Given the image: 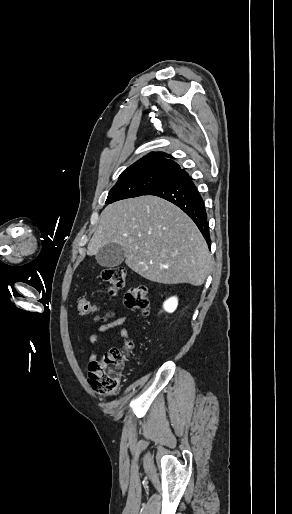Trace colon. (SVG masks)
I'll use <instances>...</instances> for the list:
<instances>
[{"label": "colon", "instance_id": "colon-1", "mask_svg": "<svg viewBox=\"0 0 292 514\" xmlns=\"http://www.w3.org/2000/svg\"><path fill=\"white\" fill-rule=\"evenodd\" d=\"M126 270L123 267H110L103 270L100 278L110 295L125 287ZM126 304L135 313L147 312L150 306L148 286L137 284L126 294ZM96 310V304L88 297L78 300V311L83 316H90ZM126 361V352L120 348H111L102 354L98 361L89 364L88 382L91 388L107 398H114L120 393L119 373Z\"/></svg>", "mask_w": 292, "mask_h": 514}]
</instances>
